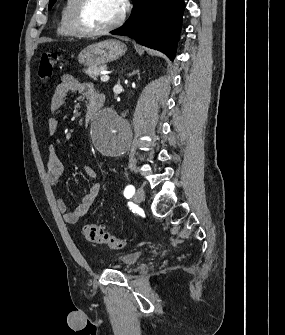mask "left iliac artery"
I'll return each mask as SVG.
<instances>
[{
    "mask_svg": "<svg viewBox=\"0 0 285 335\" xmlns=\"http://www.w3.org/2000/svg\"><path fill=\"white\" fill-rule=\"evenodd\" d=\"M135 193V188L132 185H128L124 190V196H132Z\"/></svg>",
    "mask_w": 285,
    "mask_h": 335,
    "instance_id": "obj_1",
    "label": "left iliac artery"
}]
</instances>
